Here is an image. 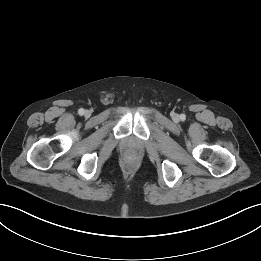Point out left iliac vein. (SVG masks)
<instances>
[{"label": "left iliac vein", "mask_w": 261, "mask_h": 261, "mask_svg": "<svg viewBox=\"0 0 261 261\" xmlns=\"http://www.w3.org/2000/svg\"><path fill=\"white\" fill-rule=\"evenodd\" d=\"M174 118H175V119H177V118H178V116H177V115H174Z\"/></svg>", "instance_id": "obj_1"}]
</instances>
